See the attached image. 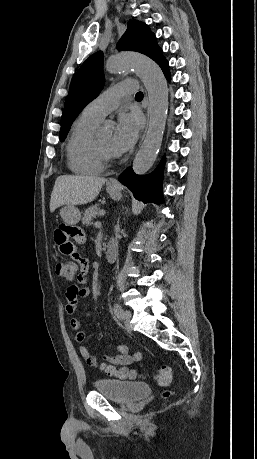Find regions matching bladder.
I'll list each match as a JSON object with an SVG mask.
<instances>
[{
    "mask_svg": "<svg viewBox=\"0 0 257 459\" xmlns=\"http://www.w3.org/2000/svg\"><path fill=\"white\" fill-rule=\"evenodd\" d=\"M94 388L107 398L121 404H133L150 393L149 386L143 382L105 378L97 379Z\"/></svg>",
    "mask_w": 257,
    "mask_h": 459,
    "instance_id": "obj_1",
    "label": "bladder"
}]
</instances>
